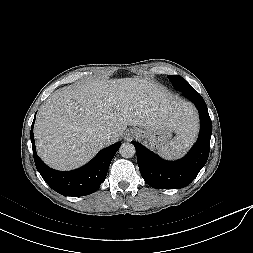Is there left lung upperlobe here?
Wrapping results in <instances>:
<instances>
[{
  "label": "left lung upper lobe",
  "mask_w": 253,
  "mask_h": 253,
  "mask_svg": "<svg viewBox=\"0 0 253 253\" xmlns=\"http://www.w3.org/2000/svg\"><path fill=\"white\" fill-rule=\"evenodd\" d=\"M168 79L178 91L184 92L185 90L192 88V86L179 75H170L168 76Z\"/></svg>",
  "instance_id": "left-lung-upper-lobe-1"
}]
</instances>
